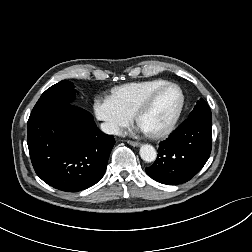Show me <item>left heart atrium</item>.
I'll return each instance as SVG.
<instances>
[{
	"instance_id": "1",
	"label": "left heart atrium",
	"mask_w": 252,
	"mask_h": 252,
	"mask_svg": "<svg viewBox=\"0 0 252 252\" xmlns=\"http://www.w3.org/2000/svg\"><path fill=\"white\" fill-rule=\"evenodd\" d=\"M139 129H140L141 131H143V132H147L146 129H145L142 125L139 126Z\"/></svg>"
}]
</instances>
